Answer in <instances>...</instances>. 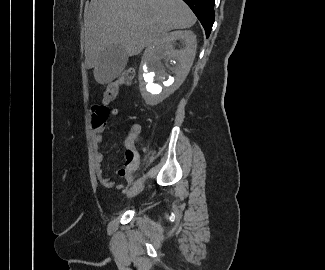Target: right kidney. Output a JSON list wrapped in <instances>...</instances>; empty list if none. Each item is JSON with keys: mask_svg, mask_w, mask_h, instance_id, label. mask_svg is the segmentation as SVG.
<instances>
[{"mask_svg": "<svg viewBox=\"0 0 325 270\" xmlns=\"http://www.w3.org/2000/svg\"><path fill=\"white\" fill-rule=\"evenodd\" d=\"M178 40L181 44L176 49ZM196 48V35L185 30L171 32L145 50L139 86L146 104L157 105L179 88L193 64Z\"/></svg>", "mask_w": 325, "mask_h": 270, "instance_id": "right-kidney-1", "label": "right kidney"}]
</instances>
